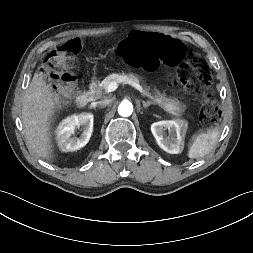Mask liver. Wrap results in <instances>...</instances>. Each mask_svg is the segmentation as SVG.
I'll list each match as a JSON object with an SVG mask.
<instances>
[{
  "instance_id": "liver-1",
  "label": "liver",
  "mask_w": 253,
  "mask_h": 253,
  "mask_svg": "<svg viewBox=\"0 0 253 253\" xmlns=\"http://www.w3.org/2000/svg\"><path fill=\"white\" fill-rule=\"evenodd\" d=\"M56 99L42 75L35 73L22 103V122L28 143L34 153L45 160L52 158L50 126Z\"/></svg>"
}]
</instances>
